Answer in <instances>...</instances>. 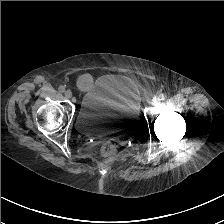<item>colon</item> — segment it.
<instances>
[{
  "instance_id": "obj_1",
  "label": "colon",
  "mask_w": 224,
  "mask_h": 224,
  "mask_svg": "<svg viewBox=\"0 0 224 224\" xmlns=\"http://www.w3.org/2000/svg\"><path fill=\"white\" fill-rule=\"evenodd\" d=\"M118 151V147L113 144V143H105L103 146H102V153L105 155V156H114Z\"/></svg>"
}]
</instances>
